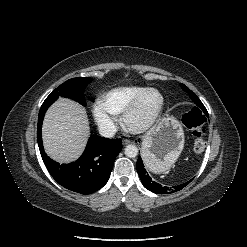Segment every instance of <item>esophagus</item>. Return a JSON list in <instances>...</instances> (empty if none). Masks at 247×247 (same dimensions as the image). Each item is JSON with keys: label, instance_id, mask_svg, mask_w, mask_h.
I'll list each match as a JSON object with an SVG mask.
<instances>
[{"label": "esophagus", "instance_id": "1", "mask_svg": "<svg viewBox=\"0 0 247 247\" xmlns=\"http://www.w3.org/2000/svg\"><path fill=\"white\" fill-rule=\"evenodd\" d=\"M122 143H123V145H127V144H130L131 141L128 140V139H123V140H122Z\"/></svg>", "mask_w": 247, "mask_h": 247}]
</instances>
